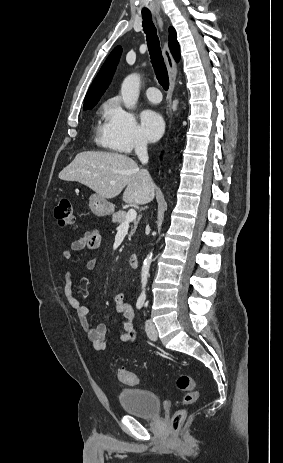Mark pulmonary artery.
I'll use <instances>...</instances> for the list:
<instances>
[{"label":"pulmonary artery","instance_id":"pulmonary-artery-1","mask_svg":"<svg viewBox=\"0 0 283 463\" xmlns=\"http://www.w3.org/2000/svg\"><path fill=\"white\" fill-rule=\"evenodd\" d=\"M145 95L152 103H158L161 101V93L156 87H149L145 90Z\"/></svg>","mask_w":283,"mask_h":463}]
</instances>
